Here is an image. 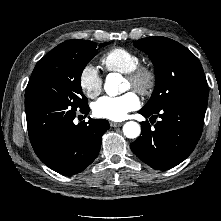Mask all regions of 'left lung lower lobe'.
<instances>
[{
    "mask_svg": "<svg viewBox=\"0 0 221 221\" xmlns=\"http://www.w3.org/2000/svg\"><path fill=\"white\" fill-rule=\"evenodd\" d=\"M207 99L185 96L155 111H139L161 121L151 128L141 124V136L130 144L133 153L157 170H167L184 161L194 150L202 133Z\"/></svg>",
    "mask_w": 221,
    "mask_h": 221,
    "instance_id": "0a47b994",
    "label": "left lung lower lobe"
}]
</instances>
